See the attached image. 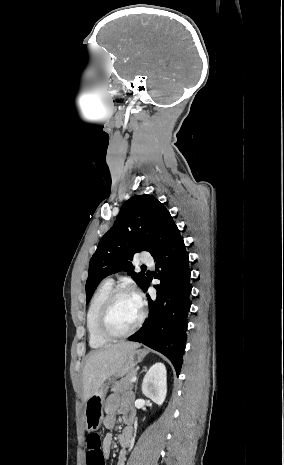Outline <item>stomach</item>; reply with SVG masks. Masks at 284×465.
<instances>
[{
  "label": "stomach",
  "instance_id": "obj_1",
  "mask_svg": "<svg viewBox=\"0 0 284 465\" xmlns=\"http://www.w3.org/2000/svg\"><path fill=\"white\" fill-rule=\"evenodd\" d=\"M146 355V349H133V351H130L126 357L123 367H121L117 375H125V373L133 371L134 367H136L138 363H142ZM117 375H114V377H117ZM111 381L112 379H108L107 383H103V385L99 387L98 391H95V393L91 395L90 399L84 403V425L88 433L98 431L99 427L102 425L105 397Z\"/></svg>",
  "mask_w": 284,
  "mask_h": 465
}]
</instances>
